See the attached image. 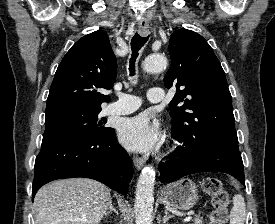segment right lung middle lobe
I'll return each mask as SVG.
<instances>
[{
	"label": "right lung middle lobe",
	"mask_w": 275,
	"mask_h": 224,
	"mask_svg": "<svg viewBox=\"0 0 275 224\" xmlns=\"http://www.w3.org/2000/svg\"><path fill=\"white\" fill-rule=\"evenodd\" d=\"M101 109L65 107L46 113L43 138H99L108 133L106 121L99 119Z\"/></svg>",
	"instance_id": "dd1d6c3e"
}]
</instances>
